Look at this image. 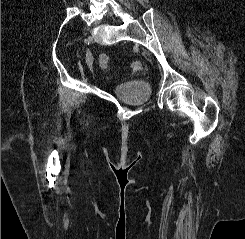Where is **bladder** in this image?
<instances>
[{
  "label": "bladder",
  "mask_w": 245,
  "mask_h": 239,
  "mask_svg": "<svg viewBox=\"0 0 245 239\" xmlns=\"http://www.w3.org/2000/svg\"><path fill=\"white\" fill-rule=\"evenodd\" d=\"M114 96L127 104L149 103L152 87L141 80L123 81L112 86Z\"/></svg>",
  "instance_id": "bladder-1"
}]
</instances>
